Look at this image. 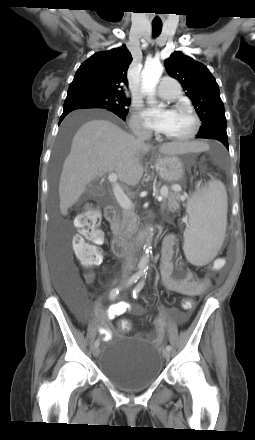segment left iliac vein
<instances>
[{"label": "left iliac vein", "instance_id": "obj_1", "mask_svg": "<svg viewBox=\"0 0 255 440\" xmlns=\"http://www.w3.org/2000/svg\"><path fill=\"white\" fill-rule=\"evenodd\" d=\"M163 356L166 358V359H168L169 357H170V351L169 350H164L163 351Z\"/></svg>", "mask_w": 255, "mask_h": 440}]
</instances>
